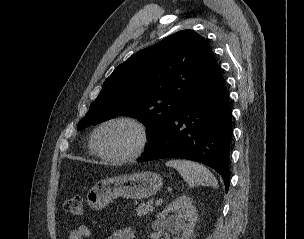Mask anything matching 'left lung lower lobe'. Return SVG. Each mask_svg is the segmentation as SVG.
<instances>
[{"label":"left lung lower lobe","instance_id":"0a47b994","mask_svg":"<svg viewBox=\"0 0 304 239\" xmlns=\"http://www.w3.org/2000/svg\"><path fill=\"white\" fill-rule=\"evenodd\" d=\"M231 137L228 93L215 64L202 84L181 105L167 130L149 145L138 162L160 158L201 162L222 176L227 192Z\"/></svg>","mask_w":304,"mask_h":239}]
</instances>
